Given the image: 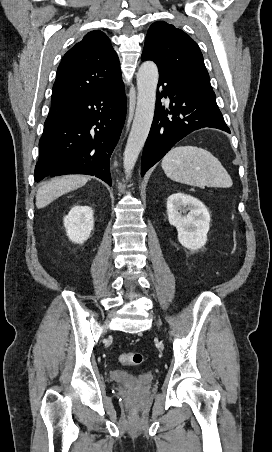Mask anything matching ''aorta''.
<instances>
[{
    "mask_svg": "<svg viewBox=\"0 0 272 452\" xmlns=\"http://www.w3.org/2000/svg\"><path fill=\"white\" fill-rule=\"evenodd\" d=\"M158 68L153 61L141 64L137 73V107L124 151V169L130 175L148 137L153 121Z\"/></svg>",
    "mask_w": 272,
    "mask_h": 452,
    "instance_id": "obj_1",
    "label": "aorta"
}]
</instances>
